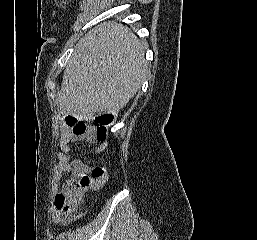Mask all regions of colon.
<instances>
[{
  "mask_svg": "<svg viewBox=\"0 0 257 240\" xmlns=\"http://www.w3.org/2000/svg\"><path fill=\"white\" fill-rule=\"evenodd\" d=\"M113 123L111 114L97 115L93 122L87 124L74 117L65 119L66 127L76 135L84 134L88 129H93L99 141H105L108 136V128ZM107 177L106 168L103 165H95L88 173L79 178L76 188L66 194H58L55 199L56 206L68 219L77 217L76 209L86 191L104 182Z\"/></svg>",
  "mask_w": 257,
  "mask_h": 240,
  "instance_id": "1",
  "label": "colon"
}]
</instances>
